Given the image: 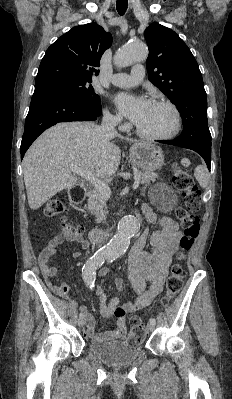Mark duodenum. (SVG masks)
Returning <instances> with one entry per match:
<instances>
[{
  "label": "duodenum",
  "instance_id": "1",
  "mask_svg": "<svg viewBox=\"0 0 232 399\" xmlns=\"http://www.w3.org/2000/svg\"><path fill=\"white\" fill-rule=\"evenodd\" d=\"M87 195V189L84 186H76L69 194V199L72 203L78 204L82 202ZM107 232L101 229H93L89 232V240L92 243L100 244L106 239Z\"/></svg>",
  "mask_w": 232,
  "mask_h": 399
}]
</instances>
